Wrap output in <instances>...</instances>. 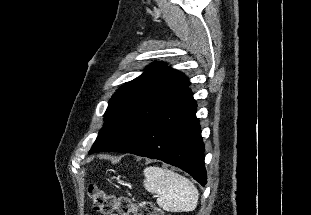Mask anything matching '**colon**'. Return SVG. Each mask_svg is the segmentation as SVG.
Returning <instances> with one entry per match:
<instances>
[{"label": "colon", "instance_id": "obj_1", "mask_svg": "<svg viewBox=\"0 0 311 215\" xmlns=\"http://www.w3.org/2000/svg\"><path fill=\"white\" fill-rule=\"evenodd\" d=\"M88 196L92 208L103 215H163L149 201L107 193L94 184L88 186Z\"/></svg>", "mask_w": 311, "mask_h": 215}]
</instances>
